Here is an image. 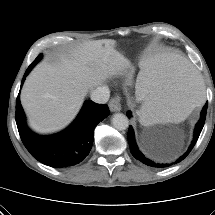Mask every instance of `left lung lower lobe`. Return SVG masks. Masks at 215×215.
Wrapping results in <instances>:
<instances>
[{
    "label": "left lung lower lobe",
    "mask_w": 215,
    "mask_h": 215,
    "mask_svg": "<svg viewBox=\"0 0 215 215\" xmlns=\"http://www.w3.org/2000/svg\"><path fill=\"white\" fill-rule=\"evenodd\" d=\"M207 106L208 103H206L201 111V117L200 120L197 122L195 130H194V138L192 140V143L190 144L188 150L186 153H184L179 159H177L175 162L167 164V163H158L157 161H153L150 158L146 157L138 148L136 141H135V136H134V131L132 126L129 127L128 130V142H129V146H130V151L131 154L139 161H141L142 163L151 166V167H156V168H163V167H169L172 164H176L180 161H182L192 150V148L194 147V145L196 144L199 135L202 131V128L204 126L205 123V118H206V110H207ZM127 116L130 118L131 117V112L128 111L127 112Z\"/></svg>",
    "instance_id": "0a47b994"
}]
</instances>
